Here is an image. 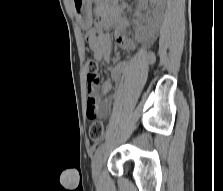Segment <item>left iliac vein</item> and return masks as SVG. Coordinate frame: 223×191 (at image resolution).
Masks as SVG:
<instances>
[{"mask_svg": "<svg viewBox=\"0 0 223 191\" xmlns=\"http://www.w3.org/2000/svg\"><path fill=\"white\" fill-rule=\"evenodd\" d=\"M102 168V156L97 157L92 163V175L94 179H97L100 175Z\"/></svg>", "mask_w": 223, "mask_h": 191, "instance_id": "obj_1", "label": "left iliac vein"}]
</instances>
